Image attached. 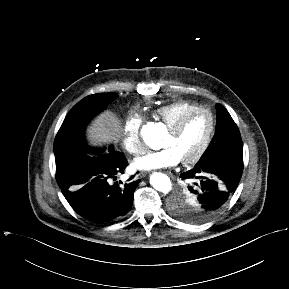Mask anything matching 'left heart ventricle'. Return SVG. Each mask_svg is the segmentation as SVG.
<instances>
[{"label": "left heart ventricle", "instance_id": "obj_1", "mask_svg": "<svg viewBox=\"0 0 289 289\" xmlns=\"http://www.w3.org/2000/svg\"><path fill=\"white\" fill-rule=\"evenodd\" d=\"M210 127L211 120L208 114H195L187 121L180 133L173 135L168 131L163 139L162 147L174 149L181 160L189 158L204 143Z\"/></svg>", "mask_w": 289, "mask_h": 289}]
</instances>
